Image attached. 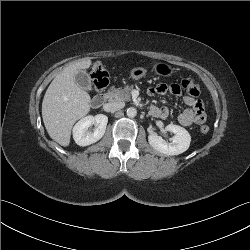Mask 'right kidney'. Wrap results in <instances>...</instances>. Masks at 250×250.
<instances>
[{
	"label": "right kidney",
	"instance_id": "1",
	"mask_svg": "<svg viewBox=\"0 0 250 250\" xmlns=\"http://www.w3.org/2000/svg\"><path fill=\"white\" fill-rule=\"evenodd\" d=\"M108 117L103 114L88 115L79 120L73 127V138L79 146H88L100 140L106 130ZM95 125L93 131H88L91 125Z\"/></svg>",
	"mask_w": 250,
	"mask_h": 250
}]
</instances>
